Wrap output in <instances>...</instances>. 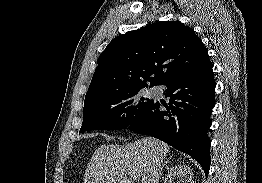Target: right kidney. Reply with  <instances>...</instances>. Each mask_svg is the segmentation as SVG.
Listing matches in <instances>:
<instances>
[{
  "instance_id": "ca27d5eb",
  "label": "right kidney",
  "mask_w": 262,
  "mask_h": 183,
  "mask_svg": "<svg viewBox=\"0 0 262 183\" xmlns=\"http://www.w3.org/2000/svg\"><path fill=\"white\" fill-rule=\"evenodd\" d=\"M176 180L178 181L177 183H194L191 168L185 164L170 168L165 177V183H175Z\"/></svg>"
}]
</instances>
